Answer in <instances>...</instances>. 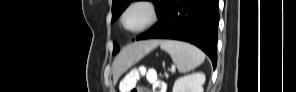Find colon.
I'll use <instances>...</instances> for the list:
<instances>
[{"instance_id":"1","label":"colon","mask_w":296,"mask_h":92,"mask_svg":"<svg viewBox=\"0 0 296 92\" xmlns=\"http://www.w3.org/2000/svg\"><path fill=\"white\" fill-rule=\"evenodd\" d=\"M145 74V70L135 68L126 73L120 81V89L122 92H149L145 87L136 85V81ZM147 77L154 85V92L163 91V83L157 78V75L149 71Z\"/></svg>"}]
</instances>
